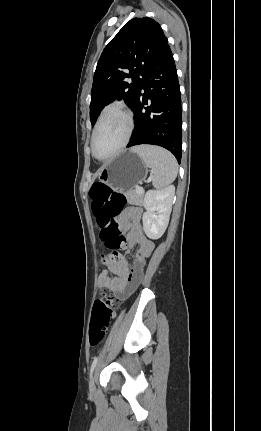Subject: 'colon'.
I'll return each mask as SVG.
<instances>
[{
  "label": "colon",
  "mask_w": 261,
  "mask_h": 431,
  "mask_svg": "<svg viewBox=\"0 0 261 431\" xmlns=\"http://www.w3.org/2000/svg\"><path fill=\"white\" fill-rule=\"evenodd\" d=\"M92 209L100 226V238L109 252L104 256L103 262L117 264L122 260L120 252L125 238L116 216L121 213L126 198L122 193L116 192L106 184L95 182L89 190ZM117 299L110 293L104 292L96 300L92 309L89 327V341L91 346L99 345L106 336L111 320L114 318V306Z\"/></svg>",
  "instance_id": "colon-1"
}]
</instances>
